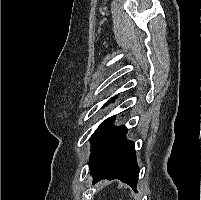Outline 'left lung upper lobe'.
I'll list each match as a JSON object with an SVG mask.
<instances>
[{
  "instance_id": "1",
  "label": "left lung upper lobe",
  "mask_w": 201,
  "mask_h": 200,
  "mask_svg": "<svg viewBox=\"0 0 201 200\" xmlns=\"http://www.w3.org/2000/svg\"><path fill=\"white\" fill-rule=\"evenodd\" d=\"M112 100H113V99H112ZM106 105H107V103L104 104V106H106ZM104 106H103V107H104ZM99 127H100V126H99ZM99 127H98V128H99ZM98 128H97V130H98ZM97 130H96V131L93 133V135L91 136L90 141H91V139L94 137V135L96 134Z\"/></svg>"
}]
</instances>
